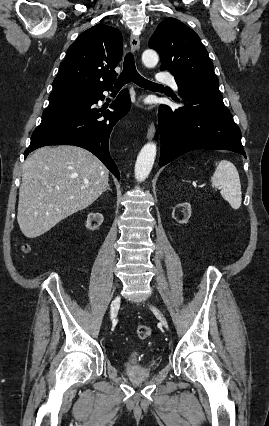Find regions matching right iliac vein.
<instances>
[{"label":"right iliac vein","mask_w":269,"mask_h":426,"mask_svg":"<svg viewBox=\"0 0 269 426\" xmlns=\"http://www.w3.org/2000/svg\"><path fill=\"white\" fill-rule=\"evenodd\" d=\"M120 303H121V297L120 295L116 296V298L114 299V301L111 304V318H114L118 312V309L120 307Z\"/></svg>","instance_id":"1"}]
</instances>
